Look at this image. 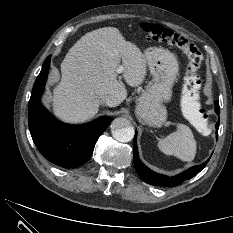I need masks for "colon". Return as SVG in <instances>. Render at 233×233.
Returning a JSON list of instances; mask_svg holds the SVG:
<instances>
[{"label": "colon", "mask_w": 233, "mask_h": 233, "mask_svg": "<svg viewBox=\"0 0 233 233\" xmlns=\"http://www.w3.org/2000/svg\"><path fill=\"white\" fill-rule=\"evenodd\" d=\"M141 29L151 39L176 46L186 55L188 62L183 85V112L191 122L196 124L201 132L209 133L211 130L209 121L199 104L201 87L199 69L203 60L201 51L185 37L161 25L143 22Z\"/></svg>", "instance_id": "5ec220e1"}]
</instances>
